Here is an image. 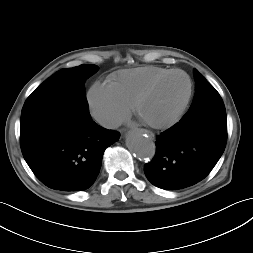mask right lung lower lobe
<instances>
[{
	"mask_svg": "<svg viewBox=\"0 0 253 253\" xmlns=\"http://www.w3.org/2000/svg\"><path fill=\"white\" fill-rule=\"evenodd\" d=\"M120 134L97 125L88 110L64 105L20 122L22 154L35 176L61 191L88 189L105 149Z\"/></svg>",
	"mask_w": 253,
	"mask_h": 253,
	"instance_id": "right-lung-lower-lobe-1",
	"label": "right lung lower lobe"
}]
</instances>
